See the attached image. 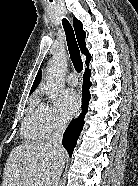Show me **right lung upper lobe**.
Here are the masks:
<instances>
[{
  "mask_svg": "<svg viewBox=\"0 0 138 186\" xmlns=\"http://www.w3.org/2000/svg\"><path fill=\"white\" fill-rule=\"evenodd\" d=\"M73 25H74V30H75V34H76V38H77L80 50L84 55H86V64L89 65V62L91 60V55L89 54L88 49L86 48V42H85L86 33L85 31H83L82 23L78 19L73 18ZM86 71L90 72L89 69H86ZM40 80H41V72L37 74L30 93L35 90Z\"/></svg>",
  "mask_w": 138,
  "mask_h": 186,
  "instance_id": "1",
  "label": "right lung upper lobe"
}]
</instances>
